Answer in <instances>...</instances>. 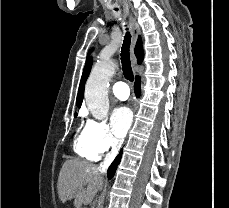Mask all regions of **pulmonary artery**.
Returning a JSON list of instances; mask_svg holds the SVG:
<instances>
[{"label":"pulmonary artery","instance_id":"e3ab8cb5","mask_svg":"<svg viewBox=\"0 0 229 208\" xmlns=\"http://www.w3.org/2000/svg\"><path fill=\"white\" fill-rule=\"evenodd\" d=\"M112 93L120 100H125L130 95V89L125 82L118 81L112 86Z\"/></svg>","mask_w":229,"mask_h":208}]
</instances>
